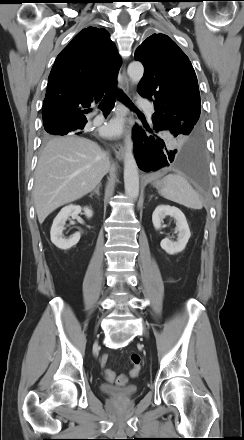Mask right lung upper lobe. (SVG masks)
<instances>
[{"instance_id": "cb5924a9", "label": "right lung upper lobe", "mask_w": 244, "mask_h": 440, "mask_svg": "<svg viewBox=\"0 0 244 440\" xmlns=\"http://www.w3.org/2000/svg\"><path fill=\"white\" fill-rule=\"evenodd\" d=\"M121 60L103 28L81 30L57 56L48 78L44 127L84 123L82 108L98 102L116 84Z\"/></svg>"}]
</instances>
